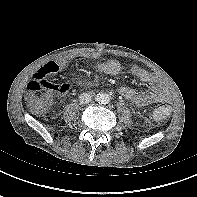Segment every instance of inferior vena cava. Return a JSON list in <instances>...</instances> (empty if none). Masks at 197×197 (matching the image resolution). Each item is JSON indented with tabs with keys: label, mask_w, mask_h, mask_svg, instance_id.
I'll use <instances>...</instances> for the list:
<instances>
[{
	"label": "inferior vena cava",
	"mask_w": 197,
	"mask_h": 197,
	"mask_svg": "<svg viewBox=\"0 0 197 197\" xmlns=\"http://www.w3.org/2000/svg\"><path fill=\"white\" fill-rule=\"evenodd\" d=\"M92 100V96L89 93H82L79 96V101L81 104H88Z\"/></svg>",
	"instance_id": "inferior-vena-cava-1"
}]
</instances>
